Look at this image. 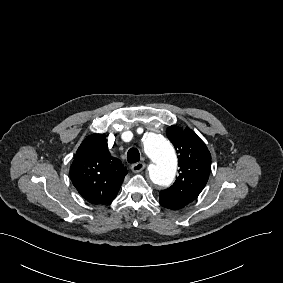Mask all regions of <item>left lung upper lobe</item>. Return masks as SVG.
Segmentation results:
<instances>
[{"mask_svg":"<svg viewBox=\"0 0 283 283\" xmlns=\"http://www.w3.org/2000/svg\"><path fill=\"white\" fill-rule=\"evenodd\" d=\"M167 137L175 146L179 176L173 186L160 192V204L179 209L195 200L205 187L211 170V155L204 142L188 127L170 126Z\"/></svg>","mask_w":283,"mask_h":283,"instance_id":"left-lung-upper-lobe-1","label":"left lung upper lobe"}]
</instances>
